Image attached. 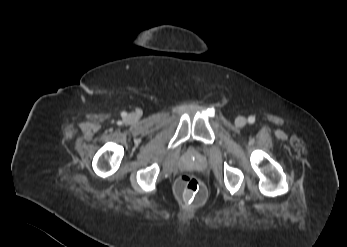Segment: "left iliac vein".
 <instances>
[{"label":"left iliac vein","mask_w":347,"mask_h":247,"mask_svg":"<svg viewBox=\"0 0 347 247\" xmlns=\"http://www.w3.org/2000/svg\"><path fill=\"white\" fill-rule=\"evenodd\" d=\"M246 118L243 117V116H238L236 119H235V125L237 127H244L246 125Z\"/></svg>","instance_id":"obj_1"}]
</instances>
